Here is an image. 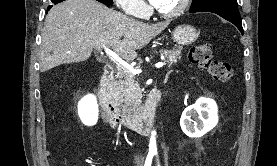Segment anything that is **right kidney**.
I'll use <instances>...</instances> for the list:
<instances>
[{
	"mask_svg": "<svg viewBox=\"0 0 277 166\" xmlns=\"http://www.w3.org/2000/svg\"><path fill=\"white\" fill-rule=\"evenodd\" d=\"M98 113V104L94 95L89 94L78 103V115L85 125H95L98 121Z\"/></svg>",
	"mask_w": 277,
	"mask_h": 166,
	"instance_id": "right-kidney-1",
	"label": "right kidney"
}]
</instances>
